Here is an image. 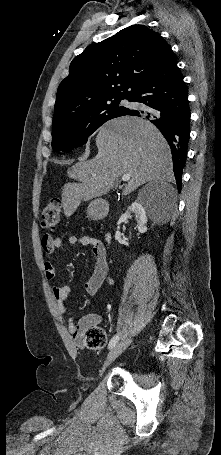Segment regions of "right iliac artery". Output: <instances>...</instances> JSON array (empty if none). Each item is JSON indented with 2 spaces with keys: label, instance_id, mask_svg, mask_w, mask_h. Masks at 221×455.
<instances>
[{
  "label": "right iliac artery",
  "instance_id": "82829eb1",
  "mask_svg": "<svg viewBox=\"0 0 221 455\" xmlns=\"http://www.w3.org/2000/svg\"><path fill=\"white\" fill-rule=\"evenodd\" d=\"M119 340V336L115 335L109 342V349H112Z\"/></svg>",
  "mask_w": 221,
  "mask_h": 455
}]
</instances>
